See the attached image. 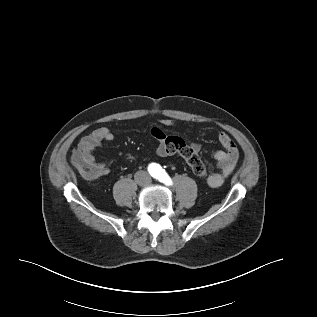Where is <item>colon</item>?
Returning a JSON list of instances; mask_svg holds the SVG:
<instances>
[{"instance_id":"1","label":"colon","mask_w":317,"mask_h":317,"mask_svg":"<svg viewBox=\"0 0 317 317\" xmlns=\"http://www.w3.org/2000/svg\"><path fill=\"white\" fill-rule=\"evenodd\" d=\"M177 154L182 156L187 164L189 165L192 173L199 178H206L208 176L207 168L203 161L200 159L199 155L194 152L191 148L187 147L185 149H180L177 151ZM76 166L79 172L87 177L94 178L96 171L92 163L85 160H78Z\"/></svg>"}]
</instances>
